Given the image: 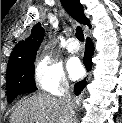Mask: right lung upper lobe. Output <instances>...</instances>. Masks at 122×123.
<instances>
[{
	"instance_id": "cb5924a9",
	"label": "right lung upper lobe",
	"mask_w": 122,
	"mask_h": 123,
	"mask_svg": "<svg viewBox=\"0 0 122 123\" xmlns=\"http://www.w3.org/2000/svg\"><path fill=\"white\" fill-rule=\"evenodd\" d=\"M69 14L81 24L90 26V21L83 13V6L80 0H61ZM44 37V29L40 23H37L31 30V35L25 41L19 42L13 49L7 70L20 65L22 62L36 56Z\"/></svg>"
}]
</instances>
